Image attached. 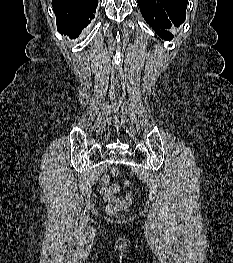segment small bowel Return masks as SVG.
Segmentation results:
<instances>
[{
	"instance_id": "c3829d8e",
	"label": "small bowel",
	"mask_w": 233,
	"mask_h": 263,
	"mask_svg": "<svg viewBox=\"0 0 233 263\" xmlns=\"http://www.w3.org/2000/svg\"><path fill=\"white\" fill-rule=\"evenodd\" d=\"M120 191L117 184H110L109 175H102L99 179V194L103 200L110 204L118 203L119 200L116 198V194Z\"/></svg>"
}]
</instances>
